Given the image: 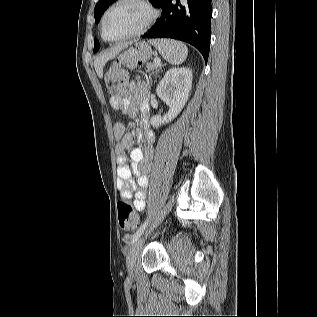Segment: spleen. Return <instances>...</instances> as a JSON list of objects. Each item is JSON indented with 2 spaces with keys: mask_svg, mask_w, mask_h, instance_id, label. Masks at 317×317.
Wrapping results in <instances>:
<instances>
[{
  "mask_svg": "<svg viewBox=\"0 0 317 317\" xmlns=\"http://www.w3.org/2000/svg\"><path fill=\"white\" fill-rule=\"evenodd\" d=\"M156 47L162 57L172 65L183 63L188 54V48L182 42L172 39H156L149 41Z\"/></svg>",
  "mask_w": 317,
  "mask_h": 317,
  "instance_id": "spleen-1",
  "label": "spleen"
}]
</instances>
